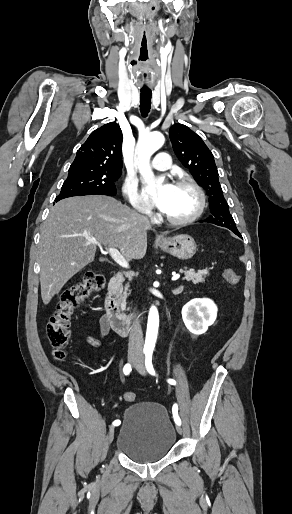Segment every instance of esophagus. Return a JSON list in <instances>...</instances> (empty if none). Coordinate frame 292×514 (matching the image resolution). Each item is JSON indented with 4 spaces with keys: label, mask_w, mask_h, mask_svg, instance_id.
<instances>
[{
    "label": "esophagus",
    "mask_w": 292,
    "mask_h": 514,
    "mask_svg": "<svg viewBox=\"0 0 292 514\" xmlns=\"http://www.w3.org/2000/svg\"><path fill=\"white\" fill-rule=\"evenodd\" d=\"M158 240H161V241H162V240H163V237H159V238H158Z\"/></svg>",
    "instance_id": "1"
}]
</instances>
